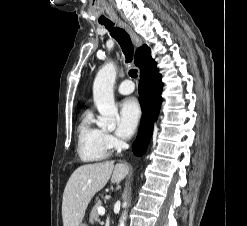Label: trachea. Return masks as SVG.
I'll return each mask as SVG.
<instances>
[{"instance_id": "trachea-1", "label": "trachea", "mask_w": 247, "mask_h": 226, "mask_svg": "<svg viewBox=\"0 0 247 226\" xmlns=\"http://www.w3.org/2000/svg\"><path fill=\"white\" fill-rule=\"evenodd\" d=\"M106 29L110 32V35L119 43L124 55L126 56V63H129L133 59V44L129 34L122 28L114 27V23H104ZM129 76L132 78L137 77V70L131 69Z\"/></svg>"}]
</instances>
